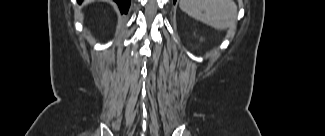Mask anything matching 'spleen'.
<instances>
[{
	"label": "spleen",
	"instance_id": "spleen-1",
	"mask_svg": "<svg viewBox=\"0 0 325 136\" xmlns=\"http://www.w3.org/2000/svg\"><path fill=\"white\" fill-rule=\"evenodd\" d=\"M182 11L214 29L227 27L233 17L234 3L229 0H180Z\"/></svg>",
	"mask_w": 325,
	"mask_h": 136
}]
</instances>
